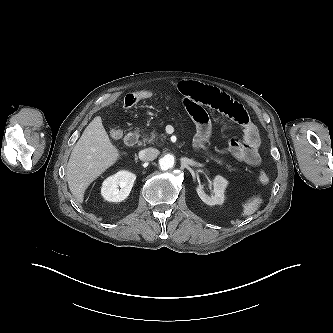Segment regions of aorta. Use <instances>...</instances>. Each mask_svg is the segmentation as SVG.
<instances>
[{"label": "aorta", "mask_w": 333, "mask_h": 333, "mask_svg": "<svg viewBox=\"0 0 333 333\" xmlns=\"http://www.w3.org/2000/svg\"><path fill=\"white\" fill-rule=\"evenodd\" d=\"M174 162V156L171 154H166L159 160V165L162 170L166 171L174 166Z\"/></svg>", "instance_id": "762f6f07"}]
</instances>
